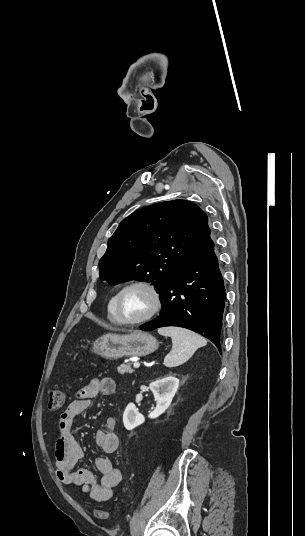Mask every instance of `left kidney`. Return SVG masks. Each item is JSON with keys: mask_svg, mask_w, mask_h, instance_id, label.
Returning <instances> with one entry per match:
<instances>
[{"mask_svg": "<svg viewBox=\"0 0 305 536\" xmlns=\"http://www.w3.org/2000/svg\"><path fill=\"white\" fill-rule=\"evenodd\" d=\"M178 386V378H174L171 374H167L164 378H159L156 382H151L149 388L153 392L156 408H154L153 412H150L149 418H158V416L164 414L165 410L169 408L178 390ZM143 422H145V418L142 414H139V410L135 404H128L123 414V424L126 430H134V428H137Z\"/></svg>", "mask_w": 305, "mask_h": 536, "instance_id": "left-kidney-1", "label": "left kidney"}]
</instances>
